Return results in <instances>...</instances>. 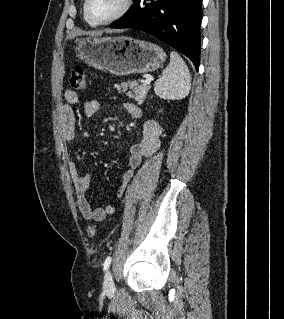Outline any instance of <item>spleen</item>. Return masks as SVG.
Masks as SVG:
<instances>
[{
    "label": "spleen",
    "instance_id": "1",
    "mask_svg": "<svg viewBox=\"0 0 284 319\" xmlns=\"http://www.w3.org/2000/svg\"><path fill=\"white\" fill-rule=\"evenodd\" d=\"M190 88L191 76L189 70L180 55L172 51L168 67L155 82V94L167 100L183 99L189 94Z\"/></svg>",
    "mask_w": 284,
    "mask_h": 319
}]
</instances>
